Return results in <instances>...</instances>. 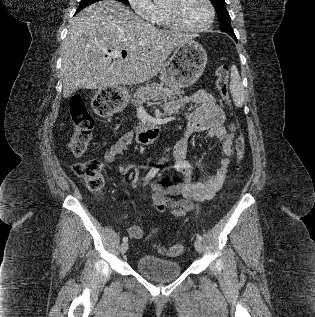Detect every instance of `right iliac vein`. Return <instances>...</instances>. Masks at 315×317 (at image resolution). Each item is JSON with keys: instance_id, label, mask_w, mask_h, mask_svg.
<instances>
[{"instance_id": "obj_1", "label": "right iliac vein", "mask_w": 315, "mask_h": 317, "mask_svg": "<svg viewBox=\"0 0 315 317\" xmlns=\"http://www.w3.org/2000/svg\"><path fill=\"white\" fill-rule=\"evenodd\" d=\"M128 247H129V246H128V243H126V242L122 243L121 246H120V252H121L122 254L126 253L127 250H128Z\"/></svg>"}]
</instances>
